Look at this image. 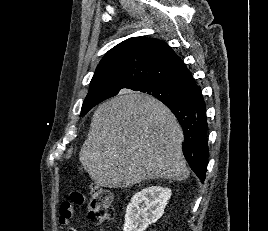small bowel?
<instances>
[{"label":"small bowel","mask_w":268,"mask_h":231,"mask_svg":"<svg viewBox=\"0 0 268 231\" xmlns=\"http://www.w3.org/2000/svg\"><path fill=\"white\" fill-rule=\"evenodd\" d=\"M80 199L76 200V204H80ZM74 215V208L69 201H63L59 207L58 223L67 227L68 231H81L77 226L71 223Z\"/></svg>","instance_id":"small-bowel-1"}]
</instances>
